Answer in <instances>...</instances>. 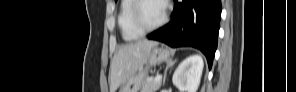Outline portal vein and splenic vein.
Listing matches in <instances>:
<instances>
[{"label": "portal vein and splenic vein", "mask_w": 296, "mask_h": 92, "mask_svg": "<svg viewBox=\"0 0 296 92\" xmlns=\"http://www.w3.org/2000/svg\"><path fill=\"white\" fill-rule=\"evenodd\" d=\"M161 79H162V75H157V76L155 77V81H161Z\"/></svg>", "instance_id": "18ae733b"}]
</instances>
